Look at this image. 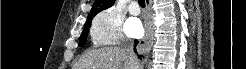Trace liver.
I'll use <instances>...</instances> for the list:
<instances>
[{
  "instance_id": "liver-1",
  "label": "liver",
  "mask_w": 246,
  "mask_h": 69,
  "mask_svg": "<svg viewBox=\"0 0 246 69\" xmlns=\"http://www.w3.org/2000/svg\"><path fill=\"white\" fill-rule=\"evenodd\" d=\"M124 64L122 65V63ZM76 69H142L140 63L134 65L129 53L122 47H101L84 54Z\"/></svg>"
}]
</instances>
